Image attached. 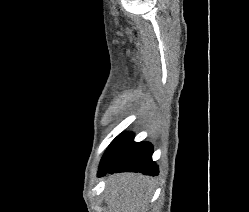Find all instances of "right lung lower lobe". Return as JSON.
Masks as SVG:
<instances>
[{
    "instance_id": "obj_1",
    "label": "right lung lower lobe",
    "mask_w": 249,
    "mask_h": 212,
    "mask_svg": "<svg viewBox=\"0 0 249 212\" xmlns=\"http://www.w3.org/2000/svg\"><path fill=\"white\" fill-rule=\"evenodd\" d=\"M132 133L117 136L100 161L98 176L113 172H141L158 175L157 165L152 161L153 147L148 142L136 143Z\"/></svg>"
}]
</instances>
